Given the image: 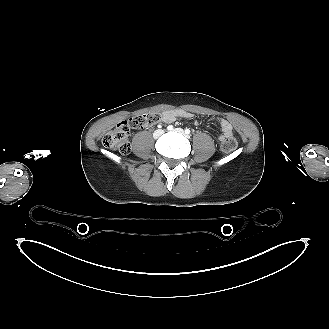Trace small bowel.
<instances>
[{
    "mask_svg": "<svg viewBox=\"0 0 329 329\" xmlns=\"http://www.w3.org/2000/svg\"><path fill=\"white\" fill-rule=\"evenodd\" d=\"M161 116H162V122L169 124L174 122L178 118H191L192 114L183 109H176V110L164 111L161 114ZM216 120L219 122L221 130L223 132V135H221L218 138L219 142L223 141L225 138L233 136L234 134L233 127L228 120L223 118H216ZM195 124H198V122L195 121Z\"/></svg>",
    "mask_w": 329,
    "mask_h": 329,
    "instance_id": "1",
    "label": "small bowel"
}]
</instances>
